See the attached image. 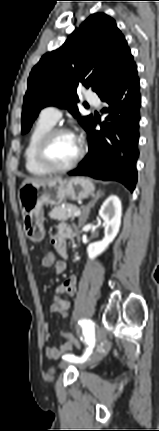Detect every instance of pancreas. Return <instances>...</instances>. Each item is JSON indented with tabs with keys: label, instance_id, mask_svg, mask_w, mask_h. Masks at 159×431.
<instances>
[{
	"label": "pancreas",
	"instance_id": "cf45deb5",
	"mask_svg": "<svg viewBox=\"0 0 159 431\" xmlns=\"http://www.w3.org/2000/svg\"><path fill=\"white\" fill-rule=\"evenodd\" d=\"M78 210V207L73 204H64L61 206L54 207L50 212L49 216L53 220L65 221L69 218L73 219V213Z\"/></svg>",
	"mask_w": 159,
	"mask_h": 431
}]
</instances>
